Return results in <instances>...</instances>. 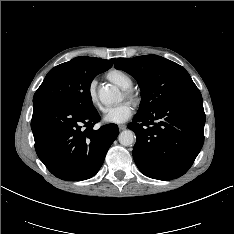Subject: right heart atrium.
Segmentation results:
<instances>
[{
    "instance_id": "1",
    "label": "right heart atrium",
    "mask_w": 234,
    "mask_h": 234,
    "mask_svg": "<svg viewBox=\"0 0 234 234\" xmlns=\"http://www.w3.org/2000/svg\"><path fill=\"white\" fill-rule=\"evenodd\" d=\"M87 96L92 106L98 109H101V105L99 103V99H98L97 91H96V83L94 81H92L88 86Z\"/></svg>"
}]
</instances>
